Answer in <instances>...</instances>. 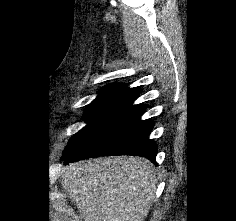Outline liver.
<instances>
[{"mask_svg":"<svg viewBox=\"0 0 236 221\" xmlns=\"http://www.w3.org/2000/svg\"><path fill=\"white\" fill-rule=\"evenodd\" d=\"M157 183L152 164L138 157L71 163L61 181L84 221H144Z\"/></svg>","mask_w":236,"mask_h":221,"instance_id":"6515ba94","label":"liver"}]
</instances>
